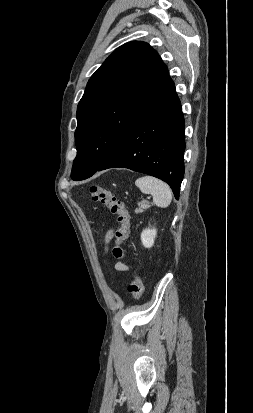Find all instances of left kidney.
<instances>
[{
    "label": "left kidney",
    "mask_w": 253,
    "mask_h": 413,
    "mask_svg": "<svg viewBox=\"0 0 253 413\" xmlns=\"http://www.w3.org/2000/svg\"><path fill=\"white\" fill-rule=\"evenodd\" d=\"M156 229L147 228L141 233V241L145 248H151L154 244V239L156 236Z\"/></svg>",
    "instance_id": "obj_1"
}]
</instances>
